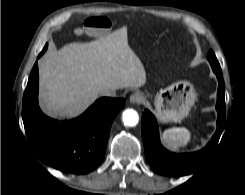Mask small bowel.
Masks as SVG:
<instances>
[{
    "mask_svg": "<svg viewBox=\"0 0 245 195\" xmlns=\"http://www.w3.org/2000/svg\"><path fill=\"white\" fill-rule=\"evenodd\" d=\"M111 26V22L108 18L103 16H93L85 20L82 29H78V33L89 32L92 34H100L107 31Z\"/></svg>",
    "mask_w": 245,
    "mask_h": 195,
    "instance_id": "obj_1",
    "label": "small bowel"
}]
</instances>
